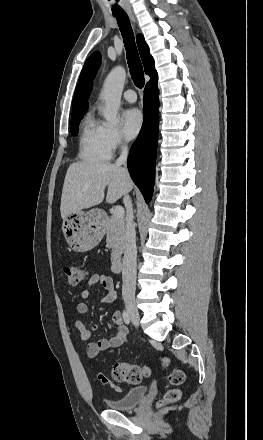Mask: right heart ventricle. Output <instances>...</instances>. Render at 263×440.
<instances>
[{
    "label": "right heart ventricle",
    "mask_w": 263,
    "mask_h": 440,
    "mask_svg": "<svg viewBox=\"0 0 263 440\" xmlns=\"http://www.w3.org/2000/svg\"><path fill=\"white\" fill-rule=\"evenodd\" d=\"M106 125L88 113L82 123L79 137V156L87 162L109 160L111 150L105 137Z\"/></svg>",
    "instance_id": "obj_1"
}]
</instances>
